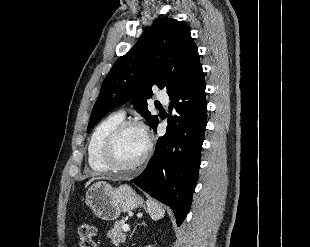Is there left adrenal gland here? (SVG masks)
I'll return each instance as SVG.
<instances>
[{
	"mask_svg": "<svg viewBox=\"0 0 310 247\" xmlns=\"http://www.w3.org/2000/svg\"><path fill=\"white\" fill-rule=\"evenodd\" d=\"M142 224H145V223H142ZM135 230H136V227L134 228L133 232L131 233L130 238L133 236V233L135 232Z\"/></svg>",
	"mask_w": 310,
	"mask_h": 247,
	"instance_id": "left-adrenal-gland-1",
	"label": "left adrenal gland"
}]
</instances>
